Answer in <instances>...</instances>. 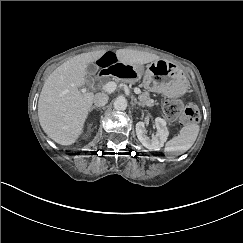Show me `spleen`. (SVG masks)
<instances>
[{
	"label": "spleen",
	"instance_id": "1",
	"mask_svg": "<svg viewBox=\"0 0 243 243\" xmlns=\"http://www.w3.org/2000/svg\"><path fill=\"white\" fill-rule=\"evenodd\" d=\"M200 127L197 124L184 126L180 133L166 143L165 153L185 152L192 147L199 134Z\"/></svg>",
	"mask_w": 243,
	"mask_h": 243
}]
</instances>
